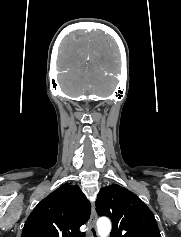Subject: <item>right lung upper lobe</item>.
I'll return each mask as SVG.
<instances>
[{
	"label": "right lung upper lobe",
	"instance_id": "1",
	"mask_svg": "<svg viewBox=\"0 0 181 237\" xmlns=\"http://www.w3.org/2000/svg\"><path fill=\"white\" fill-rule=\"evenodd\" d=\"M90 202L77 185L65 183L41 200L29 215L21 237H83Z\"/></svg>",
	"mask_w": 181,
	"mask_h": 237
}]
</instances>
